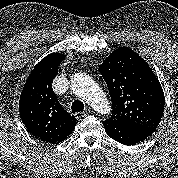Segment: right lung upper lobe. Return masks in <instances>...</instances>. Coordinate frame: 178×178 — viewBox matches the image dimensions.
Returning <instances> with one entry per match:
<instances>
[{
	"label": "right lung upper lobe",
	"mask_w": 178,
	"mask_h": 178,
	"mask_svg": "<svg viewBox=\"0 0 178 178\" xmlns=\"http://www.w3.org/2000/svg\"><path fill=\"white\" fill-rule=\"evenodd\" d=\"M64 54L51 53L29 75L19 100L22 122L30 134L47 143L58 144L74 130L77 120L59 103L52 81Z\"/></svg>",
	"instance_id": "cb5924a9"
}]
</instances>
